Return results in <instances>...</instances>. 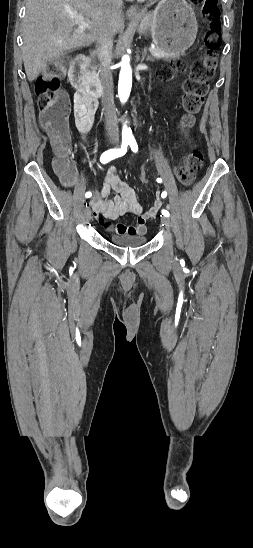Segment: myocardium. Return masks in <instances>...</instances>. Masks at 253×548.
<instances>
[{
    "label": "myocardium",
    "mask_w": 253,
    "mask_h": 548,
    "mask_svg": "<svg viewBox=\"0 0 253 548\" xmlns=\"http://www.w3.org/2000/svg\"><path fill=\"white\" fill-rule=\"evenodd\" d=\"M142 1H145V0H142ZM151 1H157V0H151Z\"/></svg>",
    "instance_id": "obj_1"
}]
</instances>
